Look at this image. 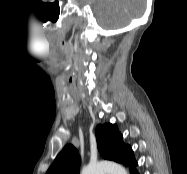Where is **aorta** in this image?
I'll return each mask as SVG.
<instances>
[{"label": "aorta", "mask_w": 187, "mask_h": 174, "mask_svg": "<svg viewBox=\"0 0 187 174\" xmlns=\"http://www.w3.org/2000/svg\"><path fill=\"white\" fill-rule=\"evenodd\" d=\"M80 174H127V171L117 163L103 161L90 163L82 169Z\"/></svg>", "instance_id": "aorta-1"}]
</instances>
